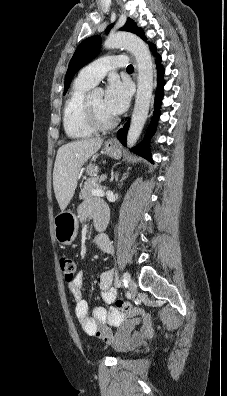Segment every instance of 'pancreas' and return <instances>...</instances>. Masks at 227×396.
Segmentation results:
<instances>
[{
  "mask_svg": "<svg viewBox=\"0 0 227 396\" xmlns=\"http://www.w3.org/2000/svg\"><path fill=\"white\" fill-rule=\"evenodd\" d=\"M93 189H101V185L97 183L96 179L88 178L81 190L80 198L87 199L93 196L92 190Z\"/></svg>",
  "mask_w": 227,
  "mask_h": 396,
  "instance_id": "pancreas-1",
  "label": "pancreas"
}]
</instances>
